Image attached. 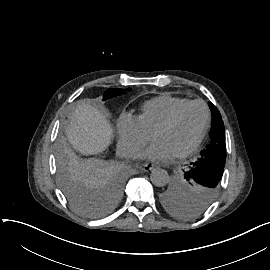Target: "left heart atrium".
Here are the masks:
<instances>
[{
    "label": "left heart atrium",
    "mask_w": 270,
    "mask_h": 270,
    "mask_svg": "<svg viewBox=\"0 0 270 270\" xmlns=\"http://www.w3.org/2000/svg\"><path fill=\"white\" fill-rule=\"evenodd\" d=\"M176 156V153L167 143L154 140L140 157L148 162L167 164L172 162Z\"/></svg>",
    "instance_id": "obj_1"
}]
</instances>
